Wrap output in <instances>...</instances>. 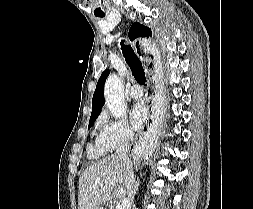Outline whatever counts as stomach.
Masks as SVG:
<instances>
[{
  "label": "stomach",
  "mask_w": 253,
  "mask_h": 209,
  "mask_svg": "<svg viewBox=\"0 0 253 209\" xmlns=\"http://www.w3.org/2000/svg\"><path fill=\"white\" fill-rule=\"evenodd\" d=\"M107 207H108L107 205H104V206H101L99 209H108Z\"/></svg>",
  "instance_id": "1"
}]
</instances>
